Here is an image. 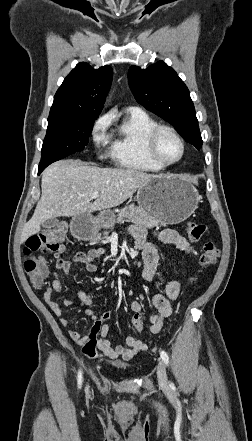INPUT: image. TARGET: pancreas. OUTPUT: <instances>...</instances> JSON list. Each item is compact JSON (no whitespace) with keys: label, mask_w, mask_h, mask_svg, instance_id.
Segmentation results:
<instances>
[{"label":"pancreas","mask_w":252,"mask_h":441,"mask_svg":"<svg viewBox=\"0 0 252 441\" xmlns=\"http://www.w3.org/2000/svg\"><path fill=\"white\" fill-rule=\"evenodd\" d=\"M117 216L111 221V223L107 226L108 229H113L115 223H123L124 221L133 222L137 224H142L146 228H154L166 226V223L156 220L152 217L147 216L142 209L137 206L129 205L125 208H122L117 212ZM109 231H104L103 236H108ZM102 239V234H96L94 240L99 241Z\"/></svg>","instance_id":"pancreas-1"}]
</instances>
